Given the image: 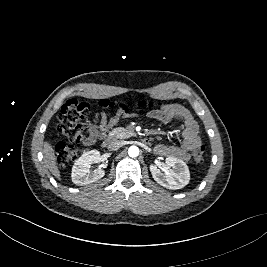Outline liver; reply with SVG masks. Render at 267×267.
<instances>
[{
	"instance_id": "6515ba94",
	"label": "liver",
	"mask_w": 267,
	"mask_h": 267,
	"mask_svg": "<svg viewBox=\"0 0 267 267\" xmlns=\"http://www.w3.org/2000/svg\"><path fill=\"white\" fill-rule=\"evenodd\" d=\"M43 154H44V162H45L46 167L49 169L52 175H54L58 180H61L60 171L56 163L55 152L49 142L44 143Z\"/></svg>"
}]
</instances>
